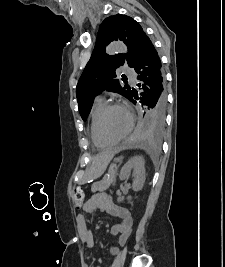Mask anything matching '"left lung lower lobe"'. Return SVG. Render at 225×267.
Here are the masks:
<instances>
[{
	"label": "left lung lower lobe",
	"instance_id": "0a47b994",
	"mask_svg": "<svg viewBox=\"0 0 225 267\" xmlns=\"http://www.w3.org/2000/svg\"><path fill=\"white\" fill-rule=\"evenodd\" d=\"M138 73L137 86L141 90L138 94L136 90L131 91L129 100L136 104L139 101L142 105L152 109L155 115L165 114L166 92L165 79L162 65L156 49L146 35L141 43L139 54L133 67Z\"/></svg>",
	"mask_w": 225,
	"mask_h": 267
}]
</instances>
